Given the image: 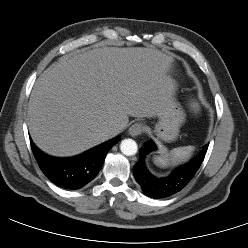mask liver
Listing matches in <instances>:
<instances>
[{
    "label": "liver",
    "mask_w": 248,
    "mask_h": 248,
    "mask_svg": "<svg viewBox=\"0 0 248 248\" xmlns=\"http://www.w3.org/2000/svg\"><path fill=\"white\" fill-rule=\"evenodd\" d=\"M172 58L157 49L104 47L67 54L37 79L29 106L34 143L53 156L79 154L120 132L129 116L153 118L171 104ZM119 132V133H120Z\"/></svg>",
    "instance_id": "1"
}]
</instances>
